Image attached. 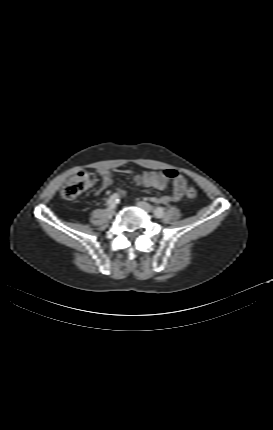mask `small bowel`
<instances>
[{"mask_svg": "<svg viewBox=\"0 0 273 430\" xmlns=\"http://www.w3.org/2000/svg\"><path fill=\"white\" fill-rule=\"evenodd\" d=\"M116 171V170H113ZM112 170L101 169L99 174L101 176V185L97 189L96 194H100L105 189L111 187L113 182ZM133 179L135 183L143 187H153L163 190L167 187L169 181L172 182V194L159 197H153L152 201L161 204H168L171 202L179 201L186 190L185 178L174 170L164 171H148L143 173L134 174ZM116 193L123 196L124 192L120 189Z\"/></svg>", "mask_w": 273, "mask_h": 430, "instance_id": "obj_1", "label": "small bowel"}]
</instances>
